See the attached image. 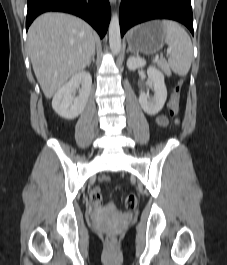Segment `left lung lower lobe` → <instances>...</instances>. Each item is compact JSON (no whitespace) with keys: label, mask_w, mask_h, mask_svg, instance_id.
Segmentation results:
<instances>
[{"label":"left lung lower lobe","mask_w":227,"mask_h":265,"mask_svg":"<svg viewBox=\"0 0 227 265\" xmlns=\"http://www.w3.org/2000/svg\"><path fill=\"white\" fill-rule=\"evenodd\" d=\"M152 19L179 21L194 34L191 0H122L121 36L132 26Z\"/></svg>","instance_id":"obj_1"}]
</instances>
